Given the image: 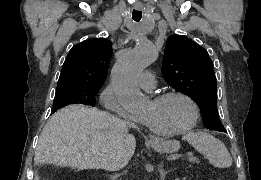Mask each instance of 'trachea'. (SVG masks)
I'll return each instance as SVG.
<instances>
[{"label": "trachea", "mask_w": 261, "mask_h": 180, "mask_svg": "<svg viewBox=\"0 0 261 180\" xmlns=\"http://www.w3.org/2000/svg\"><path fill=\"white\" fill-rule=\"evenodd\" d=\"M132 18L135 22H139L142 18V12L140 10H133Z\"/></svg>", "instance_id": "3493384b"}]
</instances>
